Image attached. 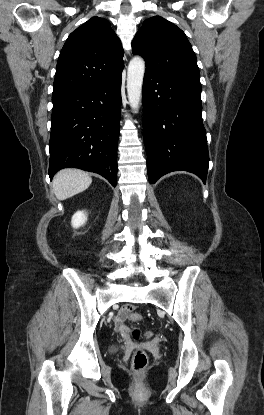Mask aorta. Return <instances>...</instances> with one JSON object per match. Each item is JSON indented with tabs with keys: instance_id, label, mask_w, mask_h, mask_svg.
I'll return each instance as SVG.
<instances>
[{
	"instance_id": "762f6f07",
	"label": "aorta",
	"mask_w": 264,
	"mask_h": 415,
	"mask_svg": "<svg viewBox=\"0 0 264 415\" xmlns=\"http://www.w3.org/2000/svg\"><path fill=\"white\" fill-rule=\"evenodd\" d=\"M144 72V60L141 57H134L130 61L127 71L128 100L134 111L139 109Z\"/></svg>"
}]
</instances>
